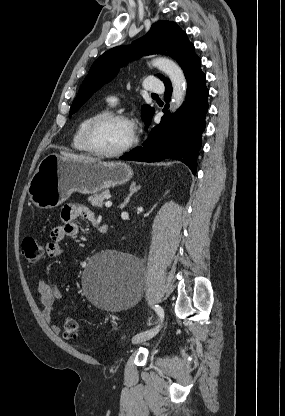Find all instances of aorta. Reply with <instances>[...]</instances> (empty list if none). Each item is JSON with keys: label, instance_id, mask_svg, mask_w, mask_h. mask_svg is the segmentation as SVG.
Here are the masks:
<instances>
[{"label": "aorta", "instance_id": "1", "mask_svg": "<svg viewBox=\"0 0 285 416\" xmlns=\"http://www.w3.org/2000/svg\"><path fill=\"white\" fill-rule=\"evenodd\" d=\"M154 67L164 72L172 83V111L177 110L185 99L186 79L179 65L166 58H156L151 63Z\"/></svg>", "mask_w": 285, "mask_h": 416}]
</instances>
